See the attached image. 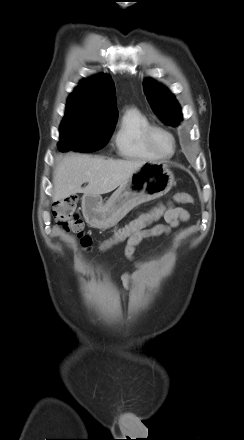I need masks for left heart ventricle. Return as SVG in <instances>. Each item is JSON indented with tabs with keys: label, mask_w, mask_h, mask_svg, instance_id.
Masks as SVG:
<instances>
[{
	"label": "left heart ventricle",
	"mask_w": 244,
	"mask_h": 440,
	"mask_svg": "<svg viewBox=\"0 0 244 440\" xmlns=\"http://www.w3.org/2000/svg\"><path fill=\"white\" fill-rule=\"evenodd\" d=\"M153 146L162 154H169L172 151L173 145L169 136L162 132H154L152 136Z\"/></svg>",
	"instance_id": "obj_1"
}]
</instances>
